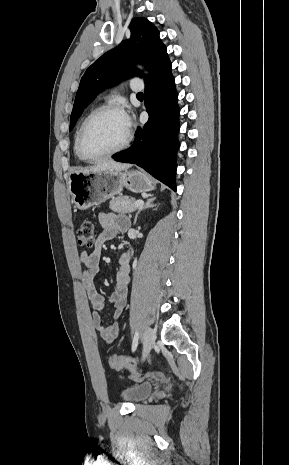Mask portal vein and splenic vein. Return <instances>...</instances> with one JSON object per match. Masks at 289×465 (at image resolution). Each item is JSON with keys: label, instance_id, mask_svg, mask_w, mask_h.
<instances>
[{"label": "portal vein and splenic vein", "instance_id": "18ae733b", "mask_svg": "<svg viewBox=\"0 0 289 465\" xmlns=\"http://www.w3.org/2000/svg\"><path fill=\"white\" fill-rule=\"evenodd\" d=\"M144 204L143 200H137L135 202V206L139 207V206H142Z\"/></svg>", "mask_w": 289, "mask_h": 465}]
</instances>
